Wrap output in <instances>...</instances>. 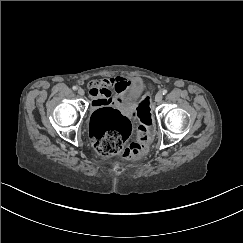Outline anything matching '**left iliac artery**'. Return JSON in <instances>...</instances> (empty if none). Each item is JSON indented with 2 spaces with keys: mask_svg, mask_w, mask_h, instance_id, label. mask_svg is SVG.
Instances as JSON below:
<instances>
[{
  "mask_svg": "<svg viewBox=\"0 0 243 243\" xmlns=\"http://www.w3.org/2000/svg\"><path fill=\"white\" fill-rule=\"evenodd\" d=\"M166 93H167V90L166 89L162 90V94L163 95H165Z\"/></svg>",
  "mask_w": 243,
  "mask_h": 243,
  "instance_id": "left-iliac-artery-1",
  "label": "left iliac artery"
}]
</instances>
